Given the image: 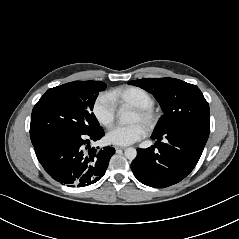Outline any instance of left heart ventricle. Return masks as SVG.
<instances>
[{"instance_id": "1", "label": "left heart ventricle", "mask_w": 239, "mask_h": 239, "mask_svg": "<svg viewBox=\"0 0 239 239\" xmlns=\"http://www.w3.org/2000/svg\"><path fill=\"white\" fill-rule=\"evenodd\" d=\"M131 122L132 123H141L146 126V122H145L144 118L136 111H134V113L132 115Z\"/></svg>"}]
</instances>
